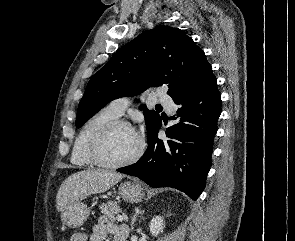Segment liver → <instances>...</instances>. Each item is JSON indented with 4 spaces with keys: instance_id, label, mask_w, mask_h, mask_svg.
Listing matches in <instances>:
<instances>
[{
    "instance_id": "liver-1",
    "label": "liver",
    "mask_w": 295,
    "mask_h": 241,
    "mask_svg": "<svg viewBox=\"0 0 295 241\" xmlns=\"http://www.w3.org/2000/svg\"><path fill=\"white\" fill-rule=\"evenodd\" d=\"M124 176L109 170H84L72 174L61 184L57 196V210L63 211L65 207L91 194L103 193Z\"/></svg>"
}]
</instances>
